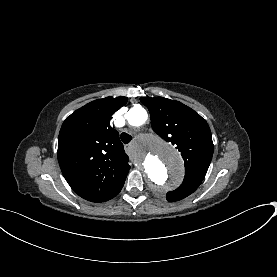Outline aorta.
I'll use <instances>...</instances> for the list:
<instances>
[{
  "mask_svg": "<svg viewBox=\"0 0 277 277\" xmlns=\"http://www.w3.org/2000/svg\"><path fill=\"white\" fill-rule=\"evenodd\" d=\"M126 118L130 125L139 127L146 122L148 115L143 107L137 106L127 112ZM135 162L145 174L151 189L157 194H162L178 184L184 174L179 152L153 134L145 135L139 141Z\"/></svg>",
  "mask_w": 277,
  "mask_h": 277,
  "instance_id": "1",
  "label": "aorta"
}]
</instances>
